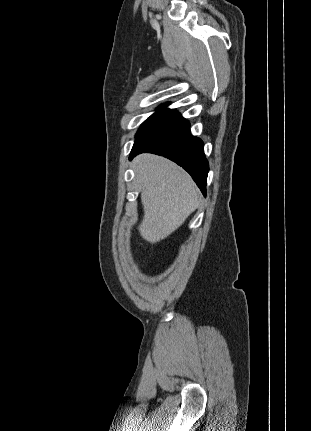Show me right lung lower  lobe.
I'll list each match as a JSON object with an SVG mask.
<instances>
[{
	"label": "right lung lower lobe",
	"mask_w": 311,
	"mask_h": 431,
	"mask_svg": "<svg viewBox=\"0 0 311 431\" xmlns=\"http://www.w3.org/2000/svg\"><path fill=\"white\" fill-rule=\"evenodd\" d=\"M164 156L182 166L206 195L209 171L201 139L190 133V124L176 110L167 109L137 136L129 159L140 153Z\"/></svg>",
	"instance_id": "obj_1"
}]
</instances>
